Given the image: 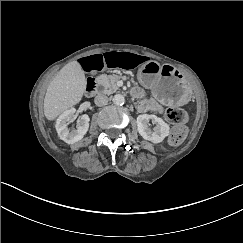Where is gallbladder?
<instances>
[{
    "label": "gallbladder",
    "instance_id": "bac80fb5",
    "mask_svg": "<svg viewBox=\"0 0 243 243\" xmlns=\"http://www.w3.org/2000/svg\"><path fill=\"white\" fill-rule=\"evenodd\" d=\"M89 73H90L91 75H94V74L96 73V70H95L94 68H91V69L89 70Z\"/></svg>",
    "mask_w": 243,
    "mask_h": 243
}]
</instances>
